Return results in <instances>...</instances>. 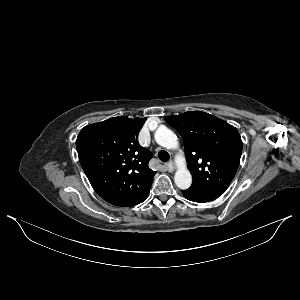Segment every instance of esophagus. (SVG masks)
<instances>
[{
  "label": "esophagus",
  "mask_w": 300,
  "mask_h": 300,
  "mask_svg": "<svg viewBox=\"0 0 300 300\" xmlns=\"http://www.w3.org/2000/svg\"><path fill=\"white\" fill-rule=\"evenodd\" d=\"M165 167L169 172H172L174 170V163L172 161H169L168 163L165 164Z\"/></svg>",
  "instance_id": "obj_1"
}]
</instances>
